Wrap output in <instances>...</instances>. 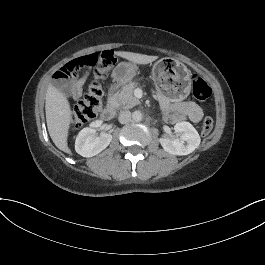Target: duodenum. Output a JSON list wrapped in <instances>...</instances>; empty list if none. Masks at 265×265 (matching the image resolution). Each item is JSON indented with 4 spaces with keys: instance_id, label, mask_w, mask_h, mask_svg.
<instances>
[{
    "instance_id": "410a0bca",
    "label": "duodenum",
    "mask_w": 265,
    "mask_h": 265,
    "mask_svg": "<svg viewBox=\"0 0 265 265\" xmlns=\"http://www.w3.org/2000/svg\"><path fill=\"white\" fill-rule=\"evenodd\" d=\"M115 113H116L115 103L112 97L110 96L102 111V118L105 120H110L115 116Z\"/></svg>"
}]
</instances>
